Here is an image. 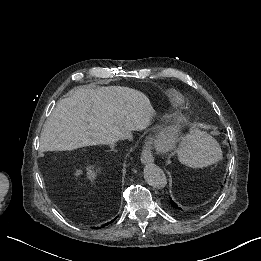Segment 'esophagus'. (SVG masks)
Masks as SVG:
<instances>
[{"label":"esophagus","mask_w":261,"mask_h":261,"mask_svg":"<svg viewBox=\"0 0 261 261\" xmlns=\"http://www.w3.org/2000/svg\"><path fill=\"white\" fill-rule=\"evenodd\" d=\"M151 142L148 141L145 143V146L143 147V151L141 154V162L143 164L153 163L154 157L152 155V149H151Z\"/></svg>","instance_id":"1"}]
</instances>
